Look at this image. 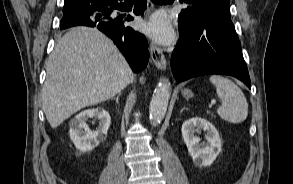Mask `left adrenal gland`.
Masks as SVG:
<instances>
[{
    "instance_id": "obj_1",
    "label": "left adrenal gland",
    "mask_w": 293,
    "mask_h": 184,
    "mask_svg": "<svg viewBox=\"0 0 293 184\" xmlns=\"http://www.w3.org/2000/svg\"><path fill=\"white\" fill-rule=\"evenodd\" d=\"M187 109H188L187 107H183V108L181 109L180 113L183 112L184 110H187Z\"/></svg>"
}]
</instances>
